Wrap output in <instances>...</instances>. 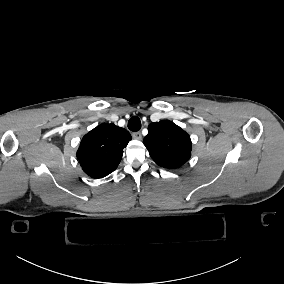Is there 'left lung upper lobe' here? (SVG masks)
I'll return each mask as SVG.
<instances>
[{
	"instance_id": "5c2ea615",
	"label": "left lung upper lobe",
	"mask_w": 284,
	"mask_h": 284,
	"mask_svg": "<svg viewBox=\"0 0 284 284\" xmlns=\"http://www.w3.org/2000/svg\"><path fill=\"white\" fill-rule=\"evenodd\" d=\"M143 143L151 158L163 168H179L191 156L190 136L171 121L151 123Z\"/></svg>"
}]
</instances>
